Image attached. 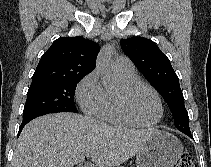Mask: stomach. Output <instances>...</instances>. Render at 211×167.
Listing matches in <instances>:
<instances>
[{
    "label": "stomach",
    "instance_id": "obj_1",
    "mask_svg": "<svg viewBox=\"0 0 211 167\" xmlns=\"http://www.w3.org/2000/svg\"><path fill=\"white\" fill-rule=\"evenodd\" d=\"M182 152L178 138L155 129L136 155L137 167H174Z\"/></svg>",
    "mask_w": 211,
    "mask_h": 167
}]
</instances>
